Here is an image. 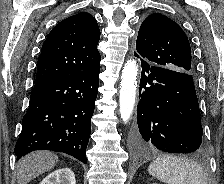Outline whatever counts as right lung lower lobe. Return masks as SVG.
Wrapping results in <instances>:
<instances>
[{"instance_id":"98d812e1","label":"right lung lower lobe","mask_w":224,"mask_h":184,"mask_svg":"<svg viewBox=\"0 0 224 184\" xmlns=\"http://www.w3.org/2000/svg\"><path fill=\"white\" fill-rule=\"evenodd\" d=\"M99 71L100 66L35 83L15 146L17 160L35 150H52L86 164Z\"/></svg>"}]
</instances>
